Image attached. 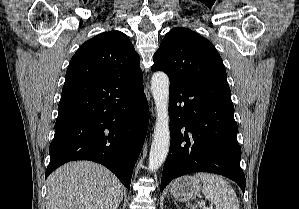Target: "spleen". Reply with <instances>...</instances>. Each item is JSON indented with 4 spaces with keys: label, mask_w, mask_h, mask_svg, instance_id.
I'll return each instance as SVG.
<instances>
[{
    "label": "spleen",
    "mask_w": 299,
    "mask_h": 209,
    "mask_svg": "<svg viewBox=\"0 0 299 209\" xmlns=\"http://www.w3.org/2000/svg\"><path fill=\"white\" fill-rule=\"evenodd\" d=\"M192 177L203 183L202 193L216 206V209H239V201L235 191L222 177L204 172L197 173ZM190 208L195 209L197 205H191Z\"/></svg>",
    "instance_id": "1"
}]
</instances>
